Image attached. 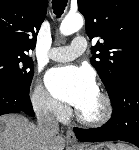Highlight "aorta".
<instances>
[{"label": "aorta", "instance_id": "762f6f07", "mask_svg": "<svg viewBox=\"0 0 139 150\" xmlns=\"http://www.w3.org/2000/svg\"><path fill=\"white\" fill-rule=\"evenodd\" d=\"M84 24L83 16L79 13L68 14L60 25V32L63 35H71L78 31Z\"/></svg>", "mask_w": 139, "mask_h": 150}]
</instances>
